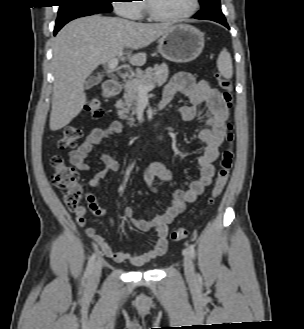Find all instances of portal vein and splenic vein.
<instances>
[{"label":"portal vein and splenic vein","mask_w":304,"mask_h":329,"mask_svg":"<svg viewBox=\"0 0 304 329\" xmlns=\"http://www.w3.org/2000/svg\"><path fill=\"white\" fill-rule=\"evenodd\" d=\"M118 58H113L108 62V67L111 71L116 72L118 75H120L122 78H126V76L121 73L118 69ZM134 80L127 81V82H133ZM155 87L154 84H151L149 86H143V85H138L137 90L139 92L140 96H146L149 91H151Z\"/></svg>","instance_id":"1"}]
</instances>
